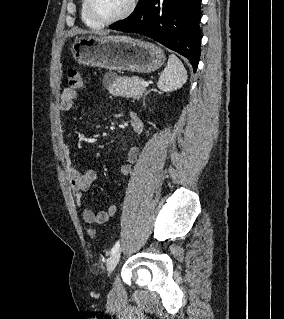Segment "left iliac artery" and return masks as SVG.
<instances>
[{"label": "left iliac artery", "mask_w": 284, "mask_h": 319, "mask_svg": "<svg viewBox=\"0 0 284 319\" xmlns=\"http://www.w3.org/2000/svg\"><path fill=\"white\" fill-rule=\"evenodd\" d=\"M119 247H120V242L117 241L115 245L113 246V248L111 249V254H114L115 252H117L119 250Z\"/></svg>", "instance_id": "1"}]
</instances>
